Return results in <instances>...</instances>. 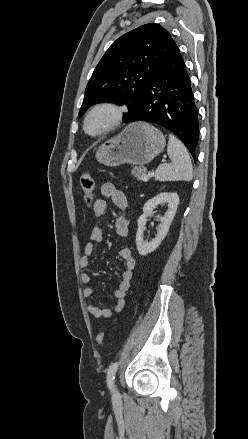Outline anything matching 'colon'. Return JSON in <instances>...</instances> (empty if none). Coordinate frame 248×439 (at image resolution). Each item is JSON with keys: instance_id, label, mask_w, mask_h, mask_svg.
<instances>
[{"instance_id": "obj_1", "label": "colon", "mask_w": 248, "mask_h": 439, "mask_svg": "<svg viewBox=\"0 0 248 439\" xmlns=\"http://www.w3.org/2000/svg\"><path fill=\"white\" fill-rule=\"evenodd\" d=\"M80 187L84 195V201L87 205H91L94 199V179L89 172H85L80 176ZM99 345L105 344V332L101 331L96 336Z\"/></svg>"}]
</instances>
